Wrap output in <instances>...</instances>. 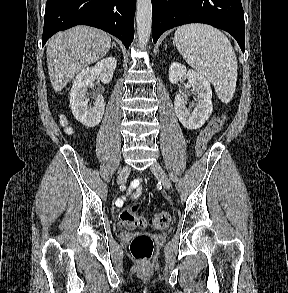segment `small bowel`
Instances as JSON below:
<instances>
[{"label": "small bowel", "instance_id": "obj_1", "mask_svg": "<svg viewBox=\"0 0 288 293\" xmlns=\"http://www.w3.org/2000/svg\"><path fill=\"white\" fill-rule=\"evenodd\" d=\"M138 197V194H135L134 196H133V198H137ZM123 202H124V198H120V199H118V201H117V206L118 207H121L122 205H123Z\"/></svg>", "mask_w": 288, "mask_h": 293}]
</instances>
